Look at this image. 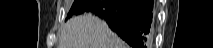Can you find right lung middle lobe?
Here are the masks:
<instances>
[{"mask_svg":"<svg viewBox=\"0 0 213 48\" xmlns=\"http://www.w3.org/2000/svg\"><path fill=\"white\" fill-rule=\"evenodd\" d=\"M87 2V0H75L68 15L67 18H70L72 15L74 14H79L81 11V8L83 7V5Z\"/></svg>","mask_w":213,"mask_h":48,"instance_id":"right-lung-middle-lobe-1","label":"right lung middle lobe"}]
</instances>
